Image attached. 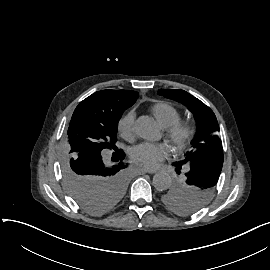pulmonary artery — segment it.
<instances>
[{"mask_svg":"<svg viewBox=\"0 0 270 270\" xmlns=\"http://www.w3.org/2000/svg\"><path fill=\"white\" fill-rule=\"evenodd\" d=\"M163 129H164V131H166V132H169V131L171 130V128H170L169 126H164ZM189 169H190L189 165H185L184 168H183V170H184L185 172H187Z\"/></svg>","mask_w":270,"mask_h":270,"instance_id":"pulmonary-artery-1","label":"pulmonary artery"}]
</instances>
